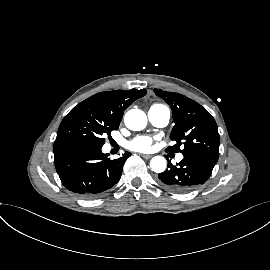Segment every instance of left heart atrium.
Returning <instances> with one entry per match:
<instances>
[{"label": "left heart atrium", "mask_w": 270, "mask_h": 270, "mask_svg": "<svg viewBox=\"0 0 270 270\" xmlns=\"http://www.w3.org/2000/svg\"><path fill=\"white\" fill-rule=\"evenodd\" d=\"M153 139L148 136H138L127 143V147L136 152H149L152 149Z\"/></svg>", "instance_id": "obj_1"}]
</instances>
